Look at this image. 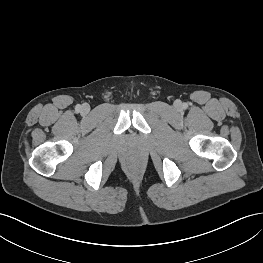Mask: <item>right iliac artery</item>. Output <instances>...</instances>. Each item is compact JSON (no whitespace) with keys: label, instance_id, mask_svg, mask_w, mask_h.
I'll use <instances>...</instances> for the list:
<instances>
[{"label":"right iliac artery","instance_id":"82829eb1","mask_svg":"<svg viewBox=\"0 0 263 263\" xmlns=\"http://www.w3.org/2000/svg\"><path fill=\"white\" fill-rule=\"evenodd\" d=\"M80 109H81V106H80V105H77V106H76V110H77V111H80Z\"/></svg>","mask_w":263,"mask_h":263}]
</instances>
